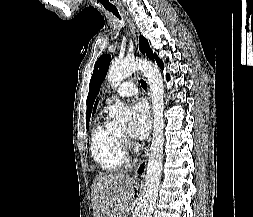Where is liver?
<instances>
[{"label":"liver","instance_id":"obj_1","mask_svg":"<svg viewBox=\"0 0 253 217\" xmlns=\"http://www.w3.org/2000/svg\"><path fill=\"white\" fill-rule=\"evenodd\" d=\"M134 197L133 178L123 173L99 174L92 184L94 217H125Z\"/></svg>","mask_w":253,"mask_h":217}]
</instances>
